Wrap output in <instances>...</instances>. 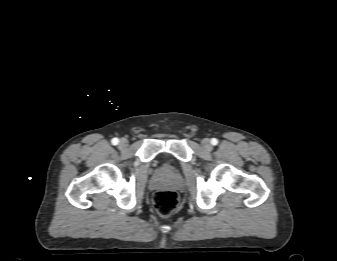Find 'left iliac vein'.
Wrapping results in <instances>:
<instances>
[{
	"mask_svg": "<svg viewBox=\"0 0 337 261\" xmlns=\"http://www.w3.org/2000/svg\"><path fill=\"white\" fill-rule=\"evenodd\" d=\"M202 146H203L206 150H208V151H210V150L212 149L211 142H210V140L207 139V138H205V139L202 140Z\"/></svg>",
	"mask_w": 337,
	"mask_h": 261,
	"instance_id": "4c4485c4",
	"label": "left iliac vein"
}]
</instances>
